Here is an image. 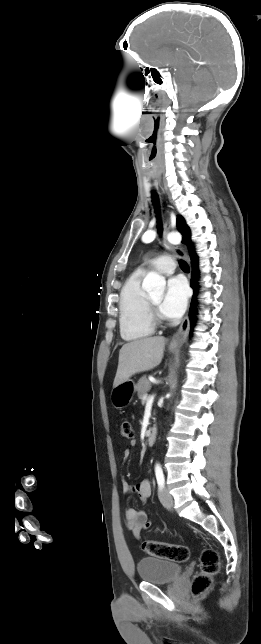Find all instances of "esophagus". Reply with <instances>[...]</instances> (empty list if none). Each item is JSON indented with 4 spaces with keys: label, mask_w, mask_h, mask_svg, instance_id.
Returning a JSON list of instances; mask_svg holds the SVG:
<instances>
[{
    "label": "esophagus",
    "mask_w": 261,
    "mask_h": 644,
    "mask_svg": "<svg viewBox=\"0 0 261 644\" xmlns=\"http://www.w3.org/2000/svg\"><path fill=\"white\" fill-rule=\"evenodd\" d=\"M170 226H171V223H170V220L168 219L166 221V223H165L164 234H163L165 245L169 249H171L176 255H178L179 257L184 258L187 262H189V257H188V255L186 254V252L182 248H180L178 246H172L167 241V235H168V232L170 230ZM189 326H190L189 317H188V315H186L184 317V319L182 320V323H181L179 329L172 336V338L170 340V346H180L186 341L187 336H188V332H189Z\"/></svg>",
    "instance_id": "obj_1"
}]
</instances>
